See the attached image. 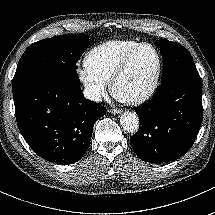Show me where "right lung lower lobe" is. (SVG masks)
Segmentation results:
<instances>
[{"instance_id":"obj_1","label":"right lung lower lobe","mask_w":215,"mask_h":215,"mask_svg":"<svg viewBox=\"0 0 215 215\" xmlns=\"http://www.w3.org/2000/svg\"><path fill=\"white\" fill-rule=\"evenodd\" d=\"M18 127L41 158L70 164L82 158L105 107L85 99L79 85L32 83L13 93Z\"/></svg>"}]
</instances>
